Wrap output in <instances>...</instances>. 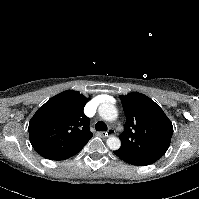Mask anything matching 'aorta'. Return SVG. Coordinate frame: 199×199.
Instances as JSON below:
<instances>
[{
  "label": "aorta",
  "instance_id": "obj_1",
  "mask_svg": "<svg viewBox=\"0 0 199 199\" xmlns=\"http://www.w3.org/2000/svg\"><path fill=\"white\" fill-rule=\"evenodd\" d=\"M99 115L106 121H115L118 117V111L116 107L110 103H103L98 108ZM107 146L111 150H118L121 146V141L115 136H111L107 139Z\"/></svg>",
  "mask_w": 199,
  "mask_h": 199
}]
</instances>
